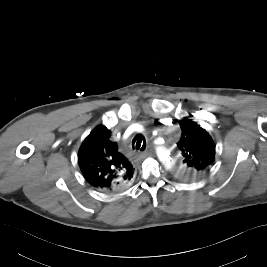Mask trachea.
<instances>
[{"label": "trachea", "instance_id": "trachea-1", "mask_svg": "<svg viewBox=\"0 0 267 267\" xmlns=\"http://www.w3.org/2000/svg\"><path fill=\"white\" fill-rule=\"evenodd\" d=\"M132 148L136 152L144 151L146 149V141L144 136L136 135L132 140Z\"/></svg>", "mask_w": 267, "mask_h": 267}]
</instances>
